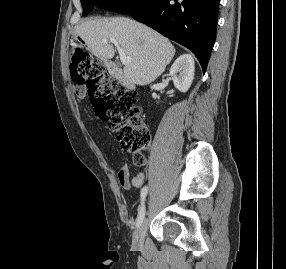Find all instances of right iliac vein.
<instances>
[{
    "label": "right iliac vein",
    "mask_w": 286,
    "mask_h": 269,
    "mask_svg": "<svg viewBox=\"0 0 286 269\" xmlns=\"http://www.w3.org/2000/svg\"><path fill=\"white\" fill-rule=\"evenodd\" d=\"M147 223L144 222L139 226L133 235L132 245L134 249H140L143 247L144 237L146 233Z\"/></svg>",
    "instance_id": "63e3f726"
}]
</instances>
